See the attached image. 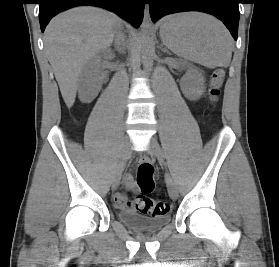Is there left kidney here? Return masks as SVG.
I'll use <instances>...</instances> for the list:
<instances>
[{
  "label": "left kidney",
  "mask_w": 279,
  "mask_h": 267,
  "mask_svg": "<svg viewBox=\"0 0 279 267\" xmlns=\"http://www.w3.org/2000/svg\"><path fill=\"white\" fill-rule=\"evenodd\" d=\"M182 89L187 98L197 100L205 91V79L201 73L189 71L183 77Z\"/></svg>",
  "instance_id": "obj_1"
}]
</instances>
